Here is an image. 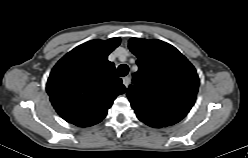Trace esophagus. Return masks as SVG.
I'll return each mask as SVG.
<instances>
[{
    "label": "esophagus",
    "mask_w": 248,
    "mask_h": 158,
    "mask_svg": "<svg viewBox=\"0 0 248 158\" xmlns=\"http://www.w3.org/2000/svg\"><path fill=\"white\" fill-rule=\"evenodd\" d=\"M122 81H123V84H124V86L125 87H128V85H129V77L128 76H126V77H124L123 79H122Z\"/></svg>",
    "instance_id": "34e87169"
}]
</instances>
